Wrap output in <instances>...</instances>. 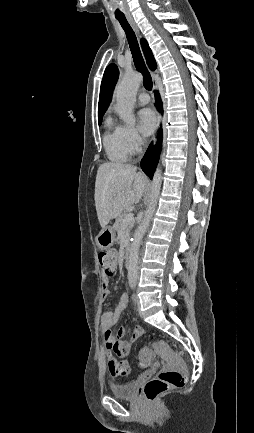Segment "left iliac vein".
I'll return each instance as SVG.
<instances>
[{"instance_id":"left-iliac-vein-1","label":"left iliac vein","mask_w":254,"mask_h":433,"mask_svg":"<svg viewBox=\"0 0 254 433\" xmlns=\"http://www.w3.org/2000/svg\"><path fill=\"white\" fill-rule=\"evenodd\" d=\"M133 301H134V304L137 308V311L140 313V302H139V298L136 294L133 295Z\"/></svg>"}]
</instances>
